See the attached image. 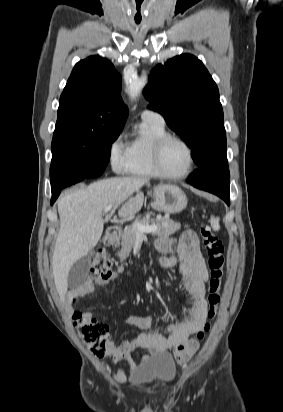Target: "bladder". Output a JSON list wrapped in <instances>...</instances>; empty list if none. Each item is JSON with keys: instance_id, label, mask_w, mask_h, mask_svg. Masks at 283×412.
<instances>
[{"instance_id": "1", "label": "bladder", "mask_w": 283, "mask_h": 412, "mask_svg": "<svg viewBox=\"0 0 283 412\" xmlns=\"http://www.w3.org/2000/svg\"><path fill=\"white\" fill-rule=\"evenodd\" d=\"M176 376V365L170 357L151 363L145 370L132 375V382L137 385H148L153 382L169 383Z\"/></svg>"}]
</instances>
